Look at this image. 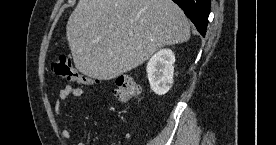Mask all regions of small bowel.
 I'll list each match as a JSON object with an SVG mask.
<instances>
[{
    "label": "small bowel",
    "instance_id": "1",
    "mask_svg": "<svg viewBox=\"0 0 276 145\" xmlns=\"http://www.w3.org/2000/svg\"><path fill=\"white\" fill-rule=\"evenodd\" d=\"M85 94V89L81 88V87H74L72 85H65L59 92L58 97L56 98L54 105H53V109H54V113L56 115V118L58 119L59 122H61L62 124H66L67 119H66V115L63 111L62 105L64 103V101L70 97V96H82ZM62 136L65 139L70 138L71 136V131L69 128L65 127L62 130ZM117 144L119 145L120 142H117ZM77 145H89V136L86 142H80Z\"/></svg>",
    "mask_w": 276,
    "mask_h": 145
}]
</instances>
